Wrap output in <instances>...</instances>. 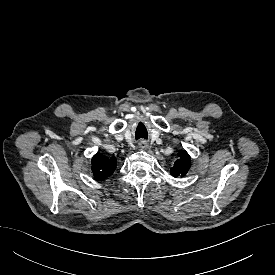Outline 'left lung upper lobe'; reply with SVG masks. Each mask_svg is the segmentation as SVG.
Segmentation results:
<instances>
[{
    "label": "left lung upper lobe",
    "mask_w": 275,
    "mask_h": 275,
    "mask_svg": "<svg viewBox=\"0 0 275 275\" xmlns=\"http://www.w3.org/2000/svg\"><path fill=\"white\" fill-rule=\"evenodd\" d=\"M178 155L179 159L175 162L174 168L171 169V175L183 177L190 168L191 159L185 150H181Z\"/></svg>",
    "instance_id": "5c2ea615"
}]
</instances>
